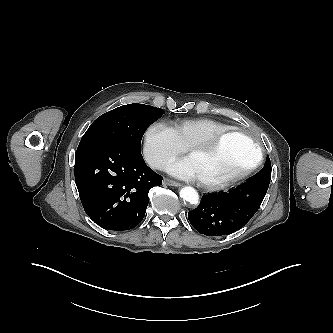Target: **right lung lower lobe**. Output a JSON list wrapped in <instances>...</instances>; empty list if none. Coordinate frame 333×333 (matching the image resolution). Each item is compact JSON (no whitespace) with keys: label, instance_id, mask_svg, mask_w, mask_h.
Segmentation results:
<instances>
[{"label":"right lung lower lobe","instance_id":"right-lung-lower-lobe-1","mask_svg":"<svg viewBox=\"0 0 333 333\" xmlns=\"http://www.w3.org/2000/svg\"><path fill=\"white\" fill-rule=\"evenodd\" d=\"M162 179L140 151L121 144L80 143L75 154V182L84 210L108 230L136 227L144 218L150 188Z\"/></svg>","mask_w":333,"mask_h":333}]
</instances>
